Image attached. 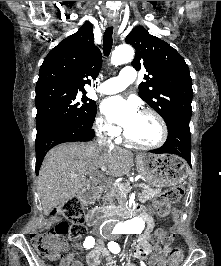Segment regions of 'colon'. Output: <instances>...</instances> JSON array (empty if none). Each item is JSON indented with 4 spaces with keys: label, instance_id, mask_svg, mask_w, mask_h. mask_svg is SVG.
<instances>
[{
    "label": "colon",
    "instance_id": "obj_1",
    "mask_svg": "<svg viewBox=\"0 0 221 266\" xmlns=\"http://www.w3.org/2000/svg\"><path fill=\"white\" fill-rule=\"evenodd\" d=\"M183 194V186H174L159 195L154 202L158 214L163 218L166 217L170 212L171 205L177 203ZM54 214L65 218L69 223L62 222L54 229L46 232H35L30 235L36 251L49 259L58 257L62 246L61 237L68 236L75 240L86 232V228L82 224L84 208L78 199L67 200L54 210ZM154 239L157 243L168 245L172 241V235L164 230H157ZM169 256L171 265L177 266L183 258L182 249L179 247L170 248Z\"/></svg>",
    "mask_w": 221,
    "mask_h": 266
}]
</instances>
